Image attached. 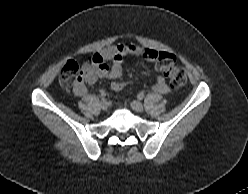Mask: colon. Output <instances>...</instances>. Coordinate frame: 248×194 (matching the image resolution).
<instances>
[{
	"label": "colon",
	"mask_w": 248,
	"mask_h": 194,
	"mask_svg": "<svg viewBox=\"0 0 248 194\" xmlns=\"http://www.w3.org/2000/svg\"><path fill=\"white\" fill-rule=\"evenodd\" d=\"M156 67L169 80L174 88L182 87L187 82L186 70L178 65L174 55L166 52H156L154 55ZM81 79L80 65L78 62L70 60L63 66L60 74V84L63 88H70ZM126 86L123 82H113L111 87L115 91L122 90Z\"/></svg>",
	"instance_id": "1"
}]
</instances>
